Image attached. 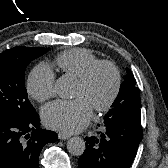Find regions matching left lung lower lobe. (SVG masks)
<instances>
[{"instance_id": "left-lung-lower-lobe-1", "label": "left lung lower lobe", "mask_w": 168, "mask_h": 168, "mask_svg": "<svg viewBox=\"0 0 168 168\" xmlns=\"http://www.w3.org/2000/svg\"><path fill=\"white\" fill-rule=\"evenodd\" d=\"M104 119L100 136L85 138L79 168H130L143 136L141 112L106 114Z\"/></svg>"}]
</instances>
